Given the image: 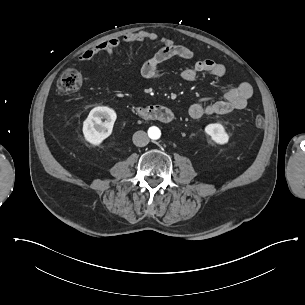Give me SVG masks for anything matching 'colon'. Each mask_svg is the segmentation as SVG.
Here are the masks:
<instances>
[{
  "instance_id": "colon-1",
  "label": "colon",
  "mask_w": 305,
  "mask_h": 305,
  "mask_svg": "<svg viewBox=\"0 0 305 305\" xmlns=\"http://www.w3.org/2000/svg\"><path fill=\"white\" fill-rule=\"evenodd\" d=\"M83 81L81 73L73 68H69L66 72L58 79L56 83V91L60 95H66L70 92L79 89ZM264 117L260 114L255 116V124L257 126L264 125Z\"/></svg>"
}]
</instances>
